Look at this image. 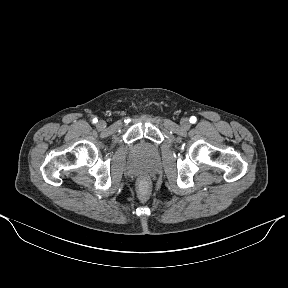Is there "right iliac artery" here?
Masks as SVG:
<instances>
[{
	"mask_svg": "<svg viewBox=\"0 0 288 288\" xmlns=\"http://www.w3.org/2000/svg\"><path fill=\"white\" fill-rule=\"evenodd\" d=\"M92 122H93V123H97V122H98L97 118H94V119L92 120Z\"/></svg>",
	"mask_w": 288,
	"mask_h": 288,
	"instance_id": "82829eb1",
	"label": "right iliac artery"
}]
</instances>
